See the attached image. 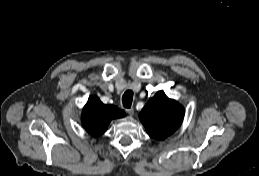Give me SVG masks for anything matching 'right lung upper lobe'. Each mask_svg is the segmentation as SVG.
<instances>
[{"label": "right lung upper lobe", "mask_w": 259, "mask_h": 176, "mask_svg": "<svg viewBox=\"0 0 259 176\" xmlns=\"http://www.w3.org/2000/svg\"><path fill=\"white\" fill-rule=\"evenodd\" d=\"M125 116V112L114 105H104L98 97L91 96L82 112V124L85 130L94 137L102 135L115 118Z\"/></svg>", "instance_id": "cb5924a9"}]
</instances>
